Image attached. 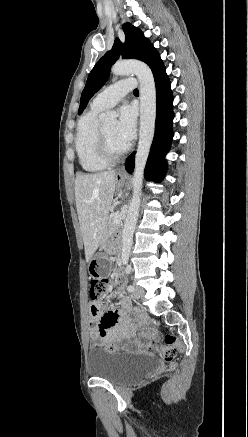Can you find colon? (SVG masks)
<instances>
[{
    "label": "colon",
    "mask_w": 248,
    "mask_h": 437,
    "mask_svg": "<svg viewBox=\"0 0 248 437\" xmlns=\"http://www.w3.org/2000/svg\"><path fill=\"white\" fill-rule=\"evenodd\" d=\"M110 286L111 282L109 279H92L90 283L91 299L93 301L101 300L109 292ZM106 349L114 351L116 350V346L109 345ZM150 349L154 350L163 361L174 366L176 355L182 350V346L174 335L168 334L164 338V344L151 345Z\"/></svg>",
    "instance_id": "obj_1"
}]
</instances>
